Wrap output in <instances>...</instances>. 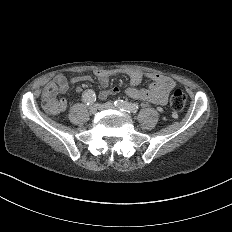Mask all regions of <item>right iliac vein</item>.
Wrapping results in <instances>:
<instances>
[{"instance_id": "right-iliac-vein-1", "label": "right iliac vein", "mask_w": 232, "mask_h": 232, "mask_svg": "<svg viewBox=\"0 0 232 232\" xmlns=\"http://www.w3.org/2000/svg\"><path fill=\"white\" fill-rule=\"evenodd\" d=\"M90 113L91 114H96L97 113V104H92L90 106Z\"/></svg>"}]
</instances>
